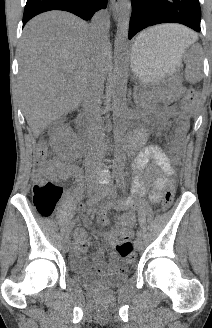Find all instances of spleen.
<instances>
[{
  "label": "spleen",
  "instance_id": "1",
  "mask_svg": "<svg viewBox=\"0 0 212 328\" xmlns=\"http://www.w3.org/2000/svg\"><path fill=\"white\" fill-rule=\"evenodd\" d=\"M148 40H149V37L146 35V32H143L137 37L134 45H139V47H142L148 42ZM188 45L189 44H187L185 47H187ZM191 63H192L191 60L188 59L187 60V70H186V74H185L186 80L190 81V82L200 81L202 78V73L198 69L194 70L191 67Z\"/></svg>",
  "mask_w": 212,
  "mask_h": 328
}]
</instances>
